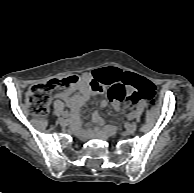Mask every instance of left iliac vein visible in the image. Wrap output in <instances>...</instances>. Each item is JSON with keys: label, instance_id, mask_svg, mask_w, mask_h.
<instances>
[{"label": "left iliac vein", "instance_id": "1", "mask_svg": "<svg viewBox=\"0 0 194 193\" xmlns=\"http://www.w3.org/2000/svg\"><path fill=\"white\" fill-rule=\"evenodd\" d=\"M132 113H133V118H134L135 117V113L134 112H132ZM136 129H137V123L133 122V123H131V124L126 126L125 132H126V134L130 135V134H133L136 131Z\"/></svg>", "mask_w": 194, "mask_h": 193}]
</instances>
